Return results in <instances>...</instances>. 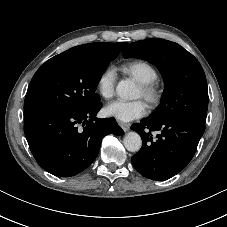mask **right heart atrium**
Wrapping results in <instances>:
<instances>
[{
	"label": "right heart atrium",
	"mask_w": 227,
	"mask_h": 227,
	"mask_svg": "<svg viewBox=\"0 0 227 227\" xmlns=\"http://www.w3.org/2000/svg\"><path fill=\"white\" fill-rule=\"evenodd\" d=\"M116 73L112 68L103 70L96 81V90L103 99H110L114 95Z\"/></svg>",
	"instance_id": "obj_1"
}]
</instances>
